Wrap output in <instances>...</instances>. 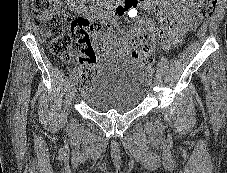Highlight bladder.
I'll list each match as a JSON object with an SVG mask.
<instances>
[{
	"mask_svg": "<svg viewBox=\"0 0 227 173\" xmlns=\"http://www.w3.org/2000/svg\"><path fill=\"white\" fill-rule=\"evenodd\" d=\"M144 94L142 66L130 58H120L98 69L83 98L86 105L98 113L123 114L134 110Z\"/></svg>",
	"mask_w": 227,
	"mask_h": 173,
	"instance_id": "31cf9c89",
	"label": "bladder"
}]
</instances>
